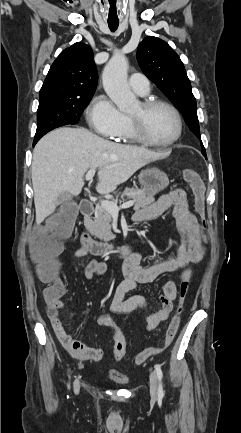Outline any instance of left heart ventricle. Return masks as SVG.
I'll use <instances>...</instances> for the list:
<instances>
[{
  "label": "left heart ventricle",
  "mask_w": 241,
  "mask_h": 433,
  "mask_svg": "<svg viewBox=\"0 0 241 433\" xmlns=\"http://www.w3.org/2000/svg\"><path fill=\"white\" fill-rule=\"evenodd\" d=\"M129 115L142 120L148 136L155 141L167 142L176 135L175 116L165 107H156L145 113L139 103Z\"/></svg>",
  "instance_id": "obj_1"
}]
</instances>
